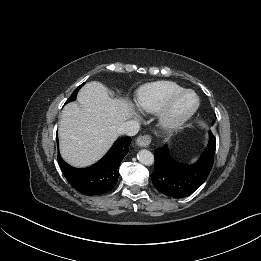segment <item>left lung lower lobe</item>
<instances>
[{
  "instance_id": "obj_1",
  "label": "left lung lower lobe",
  "mask_w": 261,
  "mask_h": 261,
  "mask_svg": "<svg viewBox=\"0 0 261 261\" xmlns=\"http://www.w3.org/2000/svg\"><path fill=\"white\" fill-rule=\"evenodd\" d=\"M216 138L209 131V141L197 162L182 164L170 155L168 145L154 151L155 169L151 179L156 189L173 198L187 197L205 181L213 166Z\"/></svg>"
}]
</instances>
